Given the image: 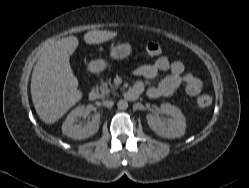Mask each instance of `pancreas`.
Here are the masks:
<instances>
[{"instance_id":"1","label":"pancreas","mask_w":249,"mask_h":188,"mask_svg":"<svg viewBox=\"0 0 249 188\" xmlns=\"http://www.w3.org/2000/svg\"><path fill=\"white\" fill-rule=\"evenodd\" d=\"M115 88L116 87L112 85L110 82H102L99 87L100 96L102 98L107 97L110 92H114Z\"/></svg>"}]
</instances>
